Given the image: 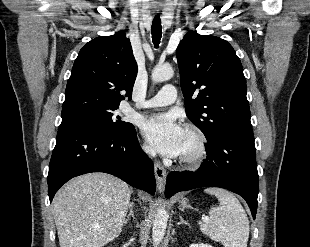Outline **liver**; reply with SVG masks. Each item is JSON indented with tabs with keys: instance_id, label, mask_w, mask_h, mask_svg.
Wrapping results in <instances>:
<instances>
[{
	"instance_id": "6515ba94",
	"label": "liver",
	"mask_w": 310,
	"mask_h": 247,
	"mask_svg": "<svg viewBox=\"0 0 310 247\" xmlns=\"http://www.w3.org/2000/svg\"><path fill=\"white\" fill-rule=\"evenodd\" d=\"M131 189L105 173L70 180L53 201L60 247H102L122 231Z\"/></svg>"
}]
</instances>
